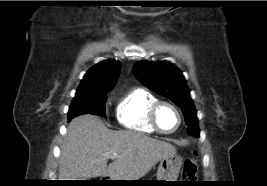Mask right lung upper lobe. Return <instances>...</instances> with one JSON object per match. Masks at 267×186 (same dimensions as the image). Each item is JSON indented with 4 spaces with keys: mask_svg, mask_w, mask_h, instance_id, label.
I'll return each mask as SVG.
<instances>
[{
    "mask_svg": "<svg viewBox=\"0 0 267 186\" xmlns=\"http://www.w3.org/2000/svg\"><path fill=\"white\" fill-rule=\"evenodd\" d=\"M120 68V63L115 60H108L95 65L84 75L77 92L111 89L117 81Z\"/></svg>",
    "mask_w": 267,
    "mask_h": 186,
    "instance_id": "1",
    "label": "right lung upper lobe"
}]
</instances>
